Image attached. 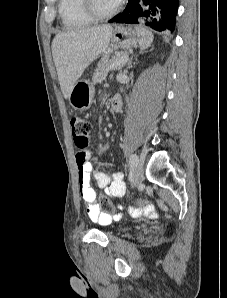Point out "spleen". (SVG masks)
<instances>
[{
    "label": "spleen",
    "mask_w": 227,
    "mask_h": 298,
    "mask_svg": "<svg viewBox=\"0 0 227 298\" xmlns=\"http://www.w3.org/2000/svg\"><path fill=\"white\" fill-rule=\"evenodd\" d=\"M136 30L138 31L141 37L139 42L141 50H144L150 47L154 38L152 32L144 27H136Z\"/></svg>",
    "instance_id": "3e777b00"
}]
</instances>
